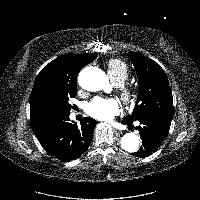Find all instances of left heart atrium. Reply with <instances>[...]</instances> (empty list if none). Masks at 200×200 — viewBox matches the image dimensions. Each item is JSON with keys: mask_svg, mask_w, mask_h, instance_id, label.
I'll return each mask as SVG.
<instances>
[{"mask_svg": "<svg viewBox=\"0 0 200 200\" xmlns=\"http://www.w3.org/2000/svg\"><path fill=\"white\" fill-rule=\"evenodd\" d=\"M120 111L117 100L113 98H101L97 97L93 99L86 107V112L91 117L109 121L116 116Z\"/></svg>", "mask_w": 200, "mask_h": 200, "instance_id": "1", "label": "left heart atrium"}]
</instances>
